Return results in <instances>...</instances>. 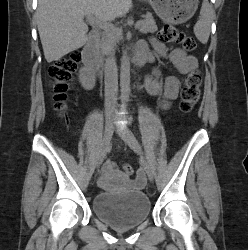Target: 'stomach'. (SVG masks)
Returning <instances> with one entry per match:
<instances>
[{"label":"stomach","instance_id":"obj_1","mask_svg":"<svg viewBox=\"0 0 248 250\" xmlns=\"http://www.w3.org/2000/svg\"><path fill=\"white\" fill-rule=\"evenodd\" d=\"M155 13L165 22L181 24L197 10L198 0H148Z\"/></svg>","mask_w":248,"mask_h":250}]
</instances>
